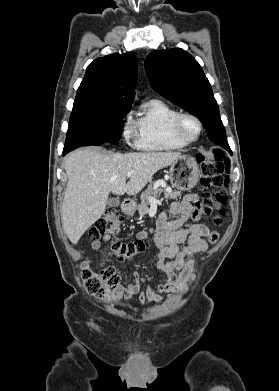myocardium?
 Returning <instances> with one entry per match:
<instances>
[{"label": "myocardium", "instance_id": "f54148a6", "mask_svg": "<svg viewBox=\"0 0 279 391\" xmlns=\"http://www.w3.org/2000/svg\"><path fill=\"white\" fill-rule=\"evenodd\" d=\"M187 119L192 120L197 125V134L194 138H188L183 133V124H184V121ZM202 129H203V126H202V122L200 121V119L196 115H194L190 112H179L177 114V116L175 117L173 124H172V131H173L175 138L178 139L179 141L183 142L186 145H189V144L196 142L202 133Z\"/></svg>", "mask_w": 279, "mask_h": 391}]
</instances>
